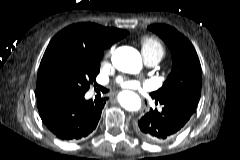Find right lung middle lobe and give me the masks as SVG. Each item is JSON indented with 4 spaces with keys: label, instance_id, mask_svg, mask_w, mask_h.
I'll return each mask as SVG.
<instances>
[{
    "label": "right lung middle lobe",
    "instance_id": "dd1d6c3e",
    "mask_svg": "<svg viewBox=\"0 0 240 160\" xmlns=\"http://www.w3.org/2000/svg\"><path fill=\"white\" fill-rule=\"evenodd\" d=\"M103 54H93L70 45H61L54 57L40 65L37 76L38 94L69 97L84 95L95 82Z\"/></svg>",
    "mask_w": 240,
    "mask_h": 160
}]
</instances>
